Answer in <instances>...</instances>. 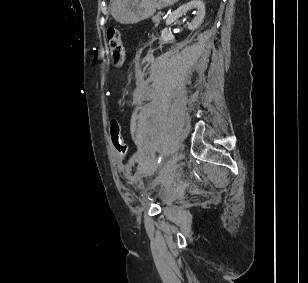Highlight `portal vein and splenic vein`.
Returning a JSON list of instances; mask_svg holds the SVG:
<instances>
[{
  "mask_svg": "<svg viewBox=\"0 0 308 283\" xmlns=\"http://www.w3.org/2000/svg\"><path fill=\"white\" fill-rule=\"evenodd\" d=\"M163 14H164V13H161V12H160V16L163 15Z\"/></svg>",
  "mask_w": 308,
  "mask_h": 283,
  "instance_id": "portal-vein-and-splenic-vein-1",
  "label": "portal vein and splenic vein"
}]
</instances>
